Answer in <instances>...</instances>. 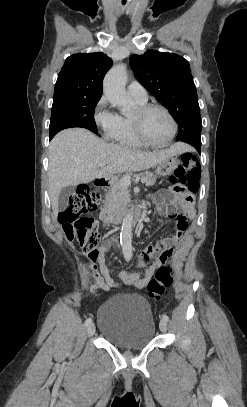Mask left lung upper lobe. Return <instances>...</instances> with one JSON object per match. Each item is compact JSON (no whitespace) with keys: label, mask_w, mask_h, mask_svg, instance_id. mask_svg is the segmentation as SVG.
I'll return each mask as SVG.
<instances>
[{"label":"left lung upper lobe","mask_w":247,"mask_h":407,"mask_svg":"<svg viewBox=\"0 0 247 407\" xmlns=\"http://www.w3.org/2000/svg\"><path fill=\"white\" fill-rule=\"evenodd\" d=\"M137 80L170 112L178 123L176 137L201 135L202 122L189 63L176 54L149 50L130 57Z\"/></svg>","instance_id":"left-lung-upper-lobe-1"}]
</instances>
